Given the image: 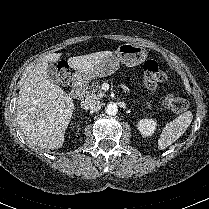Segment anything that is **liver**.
Listing matches in <instances>:
<instances>
[{
  "mask_svg": "<svg viewBox=\"0 0 209 209\" xmlns=\"http://www.w3.org/2000/svg\"><path fill=\"white\" fill-rule=\"evenodd\" d=\"M110 54L111 51H101L71 57L68 63L71 68L83 73ZM61 55L51 53L45 56L30 72L19 91L17 124L26 139L42 149L62 146L74 111L72 98L47 77L48 63L58 61Z\"/></svg>",
  "mask_w": 209,
  "mask_h": 209,
  "instance_id": "6515ba94",
  "label": "liver"
}]
</instances>
